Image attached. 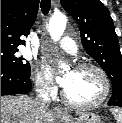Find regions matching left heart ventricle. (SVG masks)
I'll use <instances>...</instances> for the list:
<instances>
[{
    "label": "left heart ventricle",
    "mask_w": 122,
    "mask_h": 123,
    "mask_svg": "<svg viewBox=\"0 0 122 123\" xmlns=\"http://www.w3.org/2000/svg\"><path fill=\"white\" fill-rule=\"evenodd\" d=\"M68 82L64 87L67 95L77 102H90L98 99L104 91V83L97 71L91 68L66 73Z\"/></svg>",
    "instance_id": "b2bd125f"
}]
</instances>
